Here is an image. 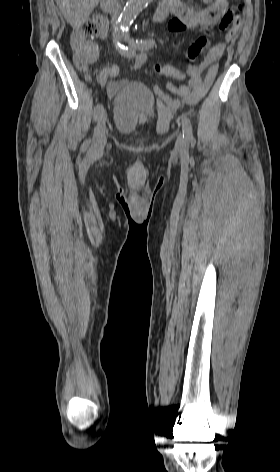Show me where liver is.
<instances>
[{"label":"liver","mask_w":280,"mask_h":472,"mask_svg":"<svg viewBox=\"0 0 280 472\" xmlns=\"http://www.w3.org/2000/svg\"><path fill=\"white\" fill-rule=\"evenodd\" d=\"M99 0H56L65 19L73 28H79L88 19Z\"/></svg>","instance_id":"obj_1"}]
</instances>
